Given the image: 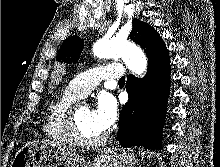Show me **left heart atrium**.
Returning <instances> with one entry per match:
<instances>
[{
  "label": "left heart atrium",
  "mask_w": 220,
  "mask_h": 167,
  "mask_svg": "<svg viewBox=\"0 0 220 167\" xmlns=\"http://www.w3.org/2000/svg\"><path fill=\"white\" fill-rule=\"evenodd\" d=\"M91 119L100 131H106L115 121L117 109L114 100L108 96L98 99L96 105L90 110Z\"/></svg>",
  "instance_id": "left-heart-atrium-1"
}]
</instances>
